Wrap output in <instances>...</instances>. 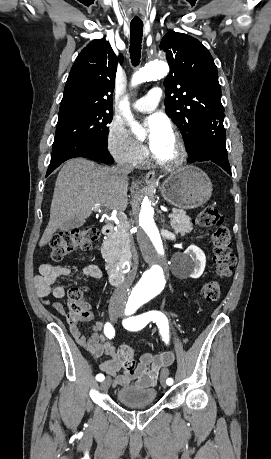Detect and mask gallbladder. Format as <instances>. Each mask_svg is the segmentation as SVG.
Here are the masks:
<instances>
[{"label": "gallbladder", "instance_id": "gallbladder-1", "mask_svg": "<svg viewBox=\"0 0 271 459\" xmlns=\"http://www.w3.org/2000/svg\"><path fill=\"white\" fill-rule=\"evenodd\" d=\"M85 220H79V218H72V220H69V222H66V224H63V226H59L60 231H68V229H74V228H80V226H83Z\"/></svg>", "mask_w": 271, "mask_h": 459}]
</instances>
